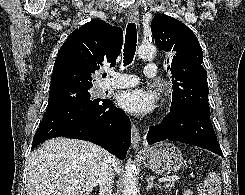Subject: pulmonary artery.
<instances>
[{"label": "pulmonary artery", "instance_id": "pulmonary-artery-1", "mask_svg": "<svg viewBox=\"0 0 245 195\" xmlns=\"http://www.w3.org/2000/svg\"><path fill=\"white\" fill-rule=\"evenodd\" d=\"M156 76V64L149 63L145 67V77L153 78ZM139 83L137 77L132 74L114 72L110 78L101 83L102 89H123L137 85Z\"/></svg>", "mask_w": 245, "mask_h": 195}]
</instances>
